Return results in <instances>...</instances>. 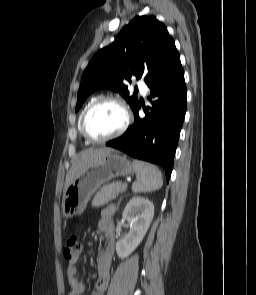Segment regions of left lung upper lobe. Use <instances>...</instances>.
<instances>
[{
  "label": "left lung upper lobe",
  "instance_id": "obj_1",
  "mask_svg": "<svg viewBox=\"0 0 256 295\" xmlns=\"http://www.w3.org/2000/svg\"><path fill=\"white\" fill-rule=\"evenodd\" d=\"M179 60L165 25L154 16H136L111 45L94 55L84 70L75 111L100 88L119 92L133 110L139 101L136 95L129 96L126 82H131L132 76H143L150 84Z\"/></svg>",
  "mask_w": 256,
  "mask_h": 295
}]
</instances>
